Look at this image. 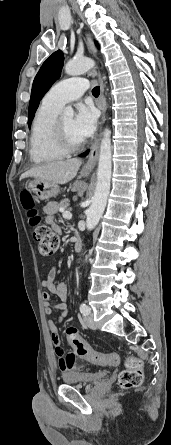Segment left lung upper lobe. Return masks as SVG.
<instances>
[{
    "mask_svg": "<svg viewBox=\"0 0 171 445\" xmlns=\"http://www.w3.org/2000/svg\"><path fill=\"white\" fill-rule=\"evenodd\" d=\"M64 55L61 50L54 52L41 66L32 85L31 98L28 112V126L30 127L40 100L50 89L52 84L59 79L63 67Z\"/></svg>",
    "mask_w": 171,
    "mask_h": 445,
    "instance_id": "obj_1",
    "label": "left lung upper lobe"
}]
</instances>
